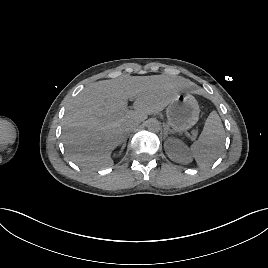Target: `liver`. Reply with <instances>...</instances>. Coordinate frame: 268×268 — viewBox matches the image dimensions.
Masks as SVG:
<instances>
[{
	"mask_svg": "<svg viewBox=\"0 0 268 268\" xmlns=\"http://www.w3.org/2000/svg\"><path fill=\"white\" fill-rule=\"evenodd\" d=\"M191 86L182 77L166 75H123L87 85L68 105L63 118L62 139L70 159L86 169L111 167V153L124 136L122 126H138ZM129 99L134 100V110L120 114Z\"/></svg>",
	"mask_w": 268,
	"mask_h": 268,
	"instance_id": "1",
	"label": "liver"
}]
</instances>
